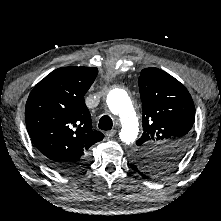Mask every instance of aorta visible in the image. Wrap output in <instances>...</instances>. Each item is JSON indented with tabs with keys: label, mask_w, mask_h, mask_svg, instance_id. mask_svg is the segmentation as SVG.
I'll return each instance as SVG.
<instances>
[{
	"label": "aorta",
	"mask_w": 221,
	"mask_h": 221,
	"mask_svg": "<svg viewBox=\"0 0 221 221\" xmlns=\"http://www.w3.org/2000/svg\"><path fill=\"white\" fill-rule=\"evenodd\" d=\"M106 102L111 113L116 115L121 123V141L125 144L133 143L138 136L139 124L127 92L119 88L112 89Z\"/></svg>",
	"instance_id": "762f6f07"
}]
</instances>
